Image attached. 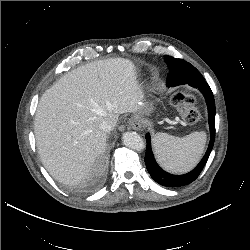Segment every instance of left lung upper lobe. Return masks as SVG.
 I'll return each instance as SVG.
<instances>
[{"mask_svg":"<svg viewBox=\"0 0 250 250\" xmlns=\"http://www.w3.org/2000/svg\"><path fill=\"white\" fill-rule=\"evenodd\" d=\"M164 60H165V62L167 63V65H168V68H169V70H170V72H169V74H168V76H167V80H166V85L168 86V87H170V86H173L172 85V83L174 82V81H176V80H179V77H181V76H175V75H173L172 73H171V69H170V64H174L173 62L174 61H177L178 59H176V58H174V57H171V56H165L164 57ZM199 72V71H198ZM198 76H202L200 73H199V75Z\"/></svg>","mask_w":250,"mask_h":250,"instance_id":"left-lung-upper-lobe-1","label":"left lung upper lobe"}]
</instances>
